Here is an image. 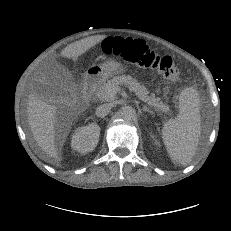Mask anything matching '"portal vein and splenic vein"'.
Here are the masks:
<instances>
[{
  "label": "portal vein and splenic vein",
  "instance_id": "portal-vein-and-splenic-vein-1",
  "mask_svg": "<svg viewBox=\"0 0 231 231\" xmlns=\"http://www.w3.org/2000/svg\"><path fill=\"white\" fill-rule=\"evenodd\" d=\"M120 89H121V88H120L119 86L110 88V89L108 90V94H109L110 96H114L118 91H120Z\"/></svg>",
  "mask_w": 231,
  "mask_h": 231
}]
</instances>
